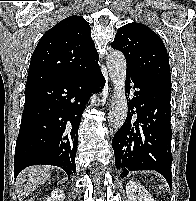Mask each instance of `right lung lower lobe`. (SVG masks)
I'll list each match as a JSON object with an SVG mask.
<instances>
[{
    "label": "right lung lower lobe",
    "mask_w": 196,
    "mask_h": 201,
    "mask_svg": "<svg viewBox=\"0 0 196 201\" xmlns=\"http://www.w3.org/2000/svg\"><path fill=\"white\" fill-rule=\"evenodd\" d=\"M105 79L98 63L75 75L26 87L25 106L16 142L15 177L24 168L47 164L76 172L75 156L81 115Z\"/></svg>",
    "instance_id": "1"
}]
</instances>
